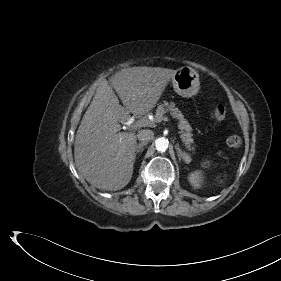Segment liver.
<instances>
[{"instance_id": "liver-1", "label": "liver", "mask_w": 281, "mask_h": 281, "mask_svg": "<svg viewBox=\"0 0 281 281\" xmlns=\"http://www.w3.org/2000/svg\"><path fill=\"white\" fill-rule=\"evenodd\" d=\"M176 70L160 67L122 69L104 81L86 110L76 133L74 159L78 171L94 187L124 188L131 180L137 145L134 132H120L130 113L151 111ZM115 89L124 106L119 104Z\"/></svg>"}]
</instances>
